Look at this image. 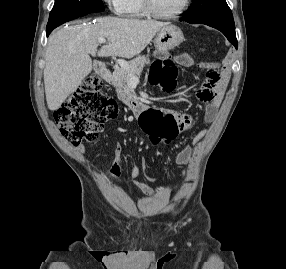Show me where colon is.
I'll return each instance as SVG.
<instances>
[{
    "instance_id": "5ec220e1",
    "label": "colon",
    "mask_w": 286,
    "mask_h": 269,
    "mask_svg": "<svg viewBox=\"0 0 286 269\" xmlns=\"http://www.w3.org/2000/svg\"><path fill=\"white\" fill-rule=\"evenodd\" d=\"M153 57L160 59L154 63L150 72V81L163 90L170 92L175 88L177 67L167 49H154ZM218 68L210 63L206 70L203 84L213 88L218 77ZM117 114L115 101L109 97L99 78L88 77L80 89L55 111V121L62 136L71 144L82 141H94L104 124ZM141 126H145L143 134H147L149 149L164 148L177 138L179 130L176 121L168 113H163L160 106L145 108V116H141ZM148 155H156V150H148Z\"/></svg>"
}]
</instances>
